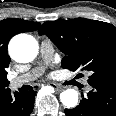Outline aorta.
I'll return each instance as SVG.
<instances>
[{
    "label": "aorta",
    "mask_w": 116,
    "mask_h": 116,
    "mask_svg": "<svg viewBox=\"0 0 116 116\" xmlns=\"http://www.w3.org/2000/svg\"><path fill=\"white\" fill-rule=\"evenodd\" d=\"M9 52L17 62H30L38 52V43L31 35L19 34L11 40ZM60 100L65 107L74 108L78 104V92L74 89H67L60 94Z\"/></svg>",
    "instance_id": "1"
}]
</instances>
